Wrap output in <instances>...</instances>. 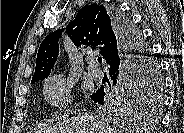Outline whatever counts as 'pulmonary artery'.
I'll return each instance as SVG.
<instances>
[{"instance_id":"e3ab8cb5","label":"pulmonary artery","mask_w":184,"mask_h":133,"mask_svg":"<svg viewBox=\"0 0 184 133\" xmlns=\"http://www.w3.org/2000/svg\"><path fill=\"white\" fill-rule=\"evenodd\" d=\"M89 75L95 80H101L103 78V72L97 67L90 66L88 68Z\"/></svg>"}]
</instances>
